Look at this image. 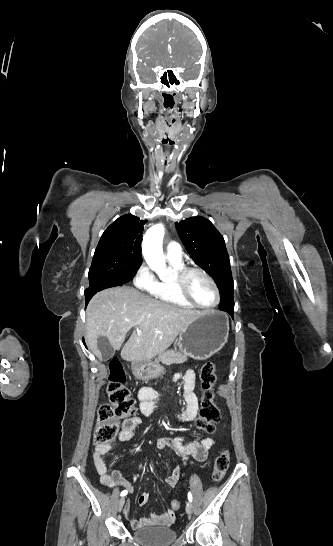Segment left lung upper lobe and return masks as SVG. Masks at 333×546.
Listing matches in <instances>:
<instances>
[{"label":"left lung upper lobe","instance_id":"5c2ea615","mask_svg":"<svg viewBox=\"0 0 333 546\" xmlns=\"http://www.w3.org/2000/svg\"><path fill=\"white\" fill-rule=\"evenodd\" d=\"M176 229L194 262L214 278L221 296L220 310L233 317V279L223 236L200 216L176 223Z\"/></svg>","mask_w":333,"mask_h":546}]
</instances>
